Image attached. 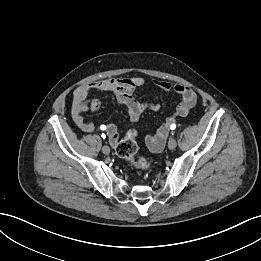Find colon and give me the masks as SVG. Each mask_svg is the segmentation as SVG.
Segmentation results:
<instances>
[{
  "instance_id": "5ec220e1",
  "label": "colon",
  "mask_w": 261,
  "mask_h": 261,
  "mask_svg": "<svg viewBox=\"0 0 261 261\" xmlns=\"http://www.w3.org/2000/svg\"><path fill=\"white\" fill-rule=\"evenodd\" d=\"M98 103L96 101L83 103L80 106L81 112L89 109L96 110ZM138 149L137 134L134 130H129L116 145V153L119 157L128 161L134 168L141 171H147L150 163L145 158H135Z\"/></svg>"
}]
</instances>
